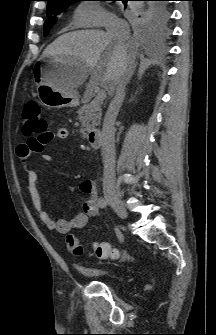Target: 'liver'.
<instances>
[{"mask_svg":"<svg viewBox=\"0 0 216 335\" xmlns=\"http://www.w3.org/2000/svg\"><path fill=\"white\" fill-rule=\"evenodd\" d=\"M137 45L128 40L123 44L101 30H81L65 33L43 51L42 57L72 58L73 64L65 75L66 90L81 86L91 75L90 84L110 92L116 87V76L122 59L133 62Z\"/></svg>","mask_w":216,"mask_h":335,"instance_id":"6515ba94","label":"liver"}]
</instances>
